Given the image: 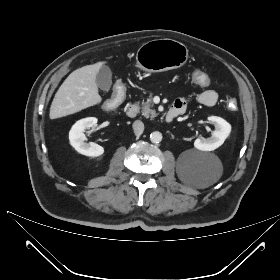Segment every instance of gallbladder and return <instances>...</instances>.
<instances>
[{
  "label": "gallbladder",
  "mask_w": 280,
  "mask_h": 280,
  "mask_svg": "<svg viewBox=\"0 0 280 280\" xmlns=\"http://www.w3.org/2000/svg\"><path fill=\"white\" fill-rule=\"evenodd\" d=\"M97 86L103 91H109L112 85V72L110 68L103 65L96 75Z\"/></svg>",
  "instance_id": "obj_1"
}]
</instances>
